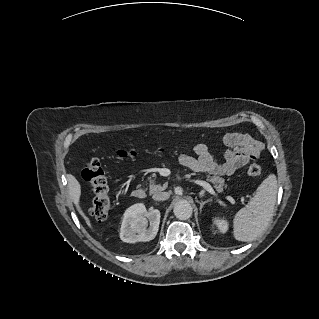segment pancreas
Returning <instances> with one entry per match:
<instances>
[{
    "instance_id": "obj_1",
    "label": "pancreas",
    "mask_w": 319,
    "mask_h": 319,
    "mask_svg": "<svg viewBox=\"0 0 319 319\" xmlns=\"http://www.w3.org/2000/svg\"><path fill=\"white\" fill-rule=\"evenodd\" d=\"M207 180L215 185L217 191L221 192L226 187L225 179L219 176H207ZM150 193H155L158 191L165 190L167 188V184L164 185H156V181L153 178H150Z\"/></svg>"
}]
</instances>
